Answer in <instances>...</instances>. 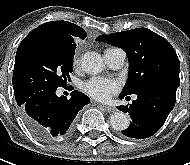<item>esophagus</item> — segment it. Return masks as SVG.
Masks as SVG:
<instances>
[{
	"instance_id": "34e87169",
	"label": "esophagus",
	"mask_w": 190,
	"mask_h": 165,
	"mask_svg": "<svg viewBox=\"0 0 190 165\" xmlns=\"http://www.w3.org/2000/svg\"><path fill=\"white\" fill-rule=\"evenodd\" d=\"M100 106L103 107V109H104L106 112H108V113H113V112L116 111L115 108L110 107V106H106V105H100Z\"/></svg>"
}]
</instances>
